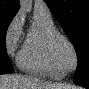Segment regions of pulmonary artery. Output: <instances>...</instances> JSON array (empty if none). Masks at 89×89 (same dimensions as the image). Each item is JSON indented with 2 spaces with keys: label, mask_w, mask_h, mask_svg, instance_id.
<instances>
[{
  "label": "pulmonary artery",
  "mask_w": 89,
  "mask_h": 89,
  "mask_svg": "<svg viewBox=\"0 0 89 89\" xmlns=\"http://www.w3.org/2000/svg\"><path fill=\"white\" fill-rule=\"evenodd\" d=\"M34 12L41 13L44 15H51L48 6L43 1H39V0L35 1Z\"/></svg>",
  "instance_id": "1"
}]
</instances>
